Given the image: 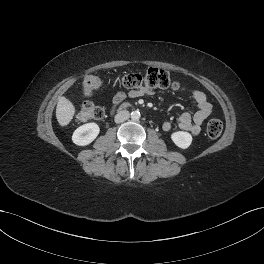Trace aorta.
Here are the masks:
<instances>
[{"label": "aorta", "mask_w": 264, "mask_h": 264, "mask_svg": "<svg viewBox=\"0 0 264 264\" xmlns=\"http://www.w3.org/2000/svg\"><path fill=\"white\" fill-rule=\"evenodd\" d=\"M141 117V114L138 110L131 112V119L134 121H138Z\"/></svg>", "instance_id": "1"}]
</instances>
